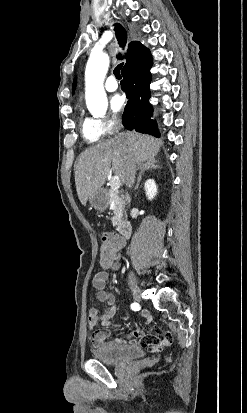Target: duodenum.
Returning a JSON list of instances; mask_svg holds the SVG:
<instances>
[{
	"label": "duodenum",
	"mask_w": 247,
	"mask_h": 413,
	"mask_svg": "<svg viewBox=\"0 0 247 413\" xmlns=\"http://www.w3.org/2000/svg\"><path fill=\"white\" fill-rule=\"evenodd\" d=\"M125 199L128 201L129 197L126 195ZM118 232L123 238H129L132 235V226L130 222L124 221L119 223Z\"/></svg>",
	"instance_id": "obj_1"
}]
</instances>
